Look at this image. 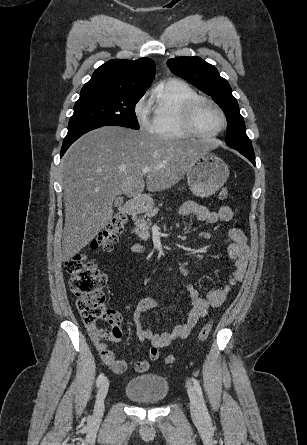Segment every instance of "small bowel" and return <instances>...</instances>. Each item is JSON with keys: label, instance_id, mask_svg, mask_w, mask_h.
Masks as SVG:
<instances>
[{"label": "small bowel", "instance_id": "c3829d8e", "mask_svg": "<svg viewBox=\"0 0 307 445\" xmlns=\"http://www.w3.org/2000/svg\"><path fill=\"white\" fill-rule=\"evenodd\" d=\"M180 212L184 216H193L198 221L206 222L208 224H215L219 221L228 222L234 217V211L229 206H222L218 211H211L207 207L193 201L185 202L181 206ZM229 238L231 242L228 245L227 251L229 258L233 263V270L229 276L228 282L221 288L208 291L206 295H202L193 285L185 284L184 287L190 299V307L187 318L183 323L174 326L170 331L153 333L150 329L144 326L142 317L146 312L156 307V301L153 298L147 297L141 299L137 303L132 320L137 337L141 340H148L150 342L148 353L150 361L158 360L160 350L168 346L172 341L187 338L199 320L203 318L210 309L222 305L231 288L242 281L250 255L248 241L244 233L238 228H231L229 230ZM162 311L165 313L163 308ZM87 328L90 338L102 361L116 374L125 372L127 362L125 360L117 359L114 353L108 349L107 345L104 343L105 340H109V331L98 329L94 324H89ZM148 368V360L142 359L135 362V369L137 372H145Z\"/></svg>", "mask_w": 307, "mask_h": 445}]
</instances>
